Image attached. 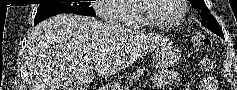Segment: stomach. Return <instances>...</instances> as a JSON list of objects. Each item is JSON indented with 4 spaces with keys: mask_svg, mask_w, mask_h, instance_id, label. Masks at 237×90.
I'll use <instances>...</instances> for the list:
<instances>
[{
    "mask_svg": "<svg viewBox=\"0 0 237 90\" xmlns=\"http://www.w3.org/2000/svg\"><path fill=\"white\" fill-rule=\"evenodd\" d=\"M178 59V53L175 50H167L164 53L156 54V64L158 67H168L174 64Z\"/></svg>",
    "mask_w": 237,
    "mask_h": 90,
    "instance_id": "0dacf381",
    "label": "stomach"
}]
</instances>
